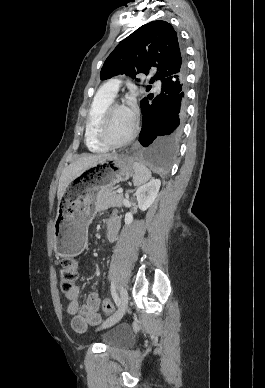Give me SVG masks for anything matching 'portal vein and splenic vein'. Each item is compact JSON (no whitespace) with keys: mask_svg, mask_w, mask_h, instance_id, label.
Masks as SVG:
<instances>
[{"mask_svg":"<svg viewBox=\"0 0 265 388\" xmlns=\"http://www.w3.org/2000/svg\"><path fill=\"white\" fill-rule=\"evenodd\" d=\"M116 192H118V194H122L123 190L122 188H119V190H116Z\"/></svg>","mask_w":265,"mask_h":388,"instance_id":"18ae733b","label":"portal vein and splenic vein"}]
</instances>
